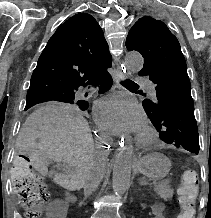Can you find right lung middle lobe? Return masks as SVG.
I'll return each mask as SVG.
<instances>
[{
    "mask_svg": "<svg viewBox=\"0 0 211 218\" xmlns=\"http://www.w3.org/2000/svg\"><path fill=\"white\" fill-rule=\"evenodd\" d=\"M63 105L78 106L83 111L89 106L87 101L77 100L74 93L62 91L27 101L25 111H34Z\"/></svg>",
    "mask_w": 211,
    "mask_h": 218,
    "instance_id": "right-lung-middle-lobe-1",
    "label": "right lung middle lobe"
}]
</instances>
